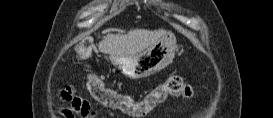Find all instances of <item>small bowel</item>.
<instances>
[{"label":"small bowel","mask_w":273,"mask_h":118,"mask_svg":"<svg viewBox=\"0 0 273 118\" xmlns=\"http://www.w3.org/2000/svg\"><path fill=\"white\" fill-rule=\"evenodd\" d=\"M61 100L71 104L70 108L61 111L66 118H74L76 115L82 118H94L96 116V111L92 108L90 102L77 95L72 87L67 88L62 93Z\"/></svg>","instance_id":"c3829d8e"}]
</instances>
